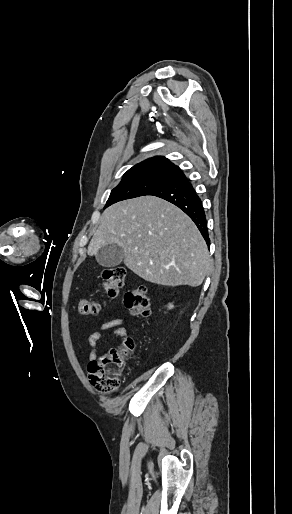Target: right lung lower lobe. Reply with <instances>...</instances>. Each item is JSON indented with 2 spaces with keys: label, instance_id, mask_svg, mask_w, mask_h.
<instances>
[{
  "label": "right lung lower lobe",
  "instance_id": "obj_1",
  "mask_svg": "<svg viewBox=\"0 0 292 514\" xmlns=\"http://www.w3.org/2000/svg\"><path fill=\"white\" fill-rule=\"evenodd\" d=\"M146 195L160 197L179 207L193 220L209 246L210 239L201 199L182 171L170 175L143 196Z\"/></svg>",
  "mask_w": 292,
  "mask_h": 514
}]
</instances>
